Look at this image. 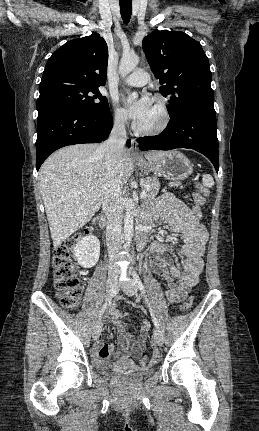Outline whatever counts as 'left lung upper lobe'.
<instances>
[{
  "label": "left lung upper lobe",
  "mask_w": 259,
  "mask_h": 431,
  "mask_svg": "<svg viewBox=\"0 0 259 431\" xmlns=\"http://www.w3.org/2000/svg\"><path fill=\"white\" fill-rule=\"evenodd\" d=\"M142 48L160 93L169 98L170 116L187 109L216 113L209 61L199 42L184 32L156 29Z\"/></svg>",
  "instance_id": "1"
}]
</instances>
